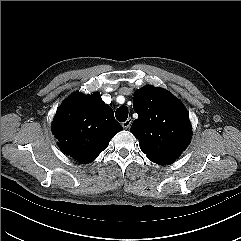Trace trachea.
Masks as SVG:
<instances>
[{"label": "trachea", "mask_w": 241, "mask_h": 241, "mask_svg": "<svg viewBox=\"0 0 241 241\" xmlns=\"http://www.w3.org/2000/svg\"><path fill=\"white\" fill-rule=\"evenodd\" d=\"M116 119L120 122H124L128 118V108L126 106L119 107L115 112Z\"/></svg>", "instance_id": "obj_1"}]
</instances>
